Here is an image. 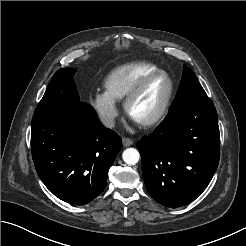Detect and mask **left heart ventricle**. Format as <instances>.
<instances>
[{
  "label": "left heart ventricle",
  "mask_w": 246,
  "mask_h": 246,
  "mask_svg": "<svg viewBox=\"0 0 246 246\" xmlns=\"http://www.w3.org/2000/svg\"><path fill=\"white\" fill-rule=\"evenodd\" d=\"M169 89L170 84L165 76H159L149 82L131 105V118L136 122H143L154 117L162 108Z\"/></svg>",
  "instance_id": "left-heart-ventricle-1"
}]
</instances>
